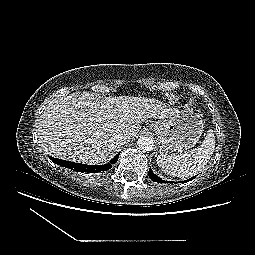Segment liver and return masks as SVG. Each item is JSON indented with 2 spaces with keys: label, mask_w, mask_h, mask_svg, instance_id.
I'll return each instance as SVG.
<instances>
[{
  "label": "liver",
  "mask_w": 255,
  "mask_h": 255,
  "mask_svg": "<svg viewBox=\"0 0 255 255\" xmlns=\"http://www.w3.org/2000/svg\"><path fill=\"white\" fill-rule=\"evenodd\" d=\"M174 113L154 98L115 96L98 98L84 91L55 98L46 106L38 128V142L57 158L86 164H99L122 144L117 134L128 140L149 118L165 119Z\"/></svg>",
  "instance_id": "liver-1"
}]
</instances>
